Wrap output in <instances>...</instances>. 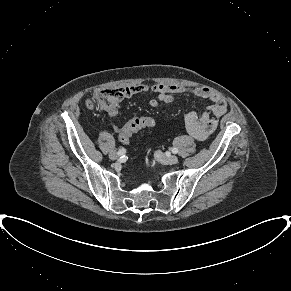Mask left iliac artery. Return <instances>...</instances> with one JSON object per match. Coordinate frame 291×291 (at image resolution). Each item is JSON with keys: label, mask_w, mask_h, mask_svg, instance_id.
Returning a JSON list of instances; mask_svg holds the SVG:
<instances>
[{"label": "left iliac artery", "mask_w": 291, "mask_h": 291, "mask_svg": "<svg viewBox=\"0 0 291 291\" xmlns=\"http://www.w3.org/2000/svg\"><path fill=\"white\" fill-rule=\"evenodd\" d=\"M171 151H172V153L176 154L178 152V149L177 148H172Z\"/></svg>", "instance_id": "obj_1"}]
</instances>
